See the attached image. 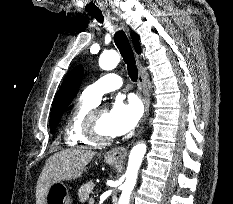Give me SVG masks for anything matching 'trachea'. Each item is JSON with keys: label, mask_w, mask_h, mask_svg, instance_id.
I'll return each mask as SVG.
<instances>
[{"label": "trachea", "mask_w": 233, "mask_h": 204, "mask_svg": "<svg viewBox=\"0 0 233 204\" xmlns=\"http://www.w3.org/2000/svg\"><path fill=\"white\" fill-rule=\"evenodd\" d=\"M91 16L96 18L98 22L103 23L104 18L101 12L91 13ZM114 41L123 57V60L127 64V70H128L129 77L131 78L133 82H136L138 78V70L136 67L134 53L130 45V42L128 40V37L122 30H120L115 33Z\"/></svg>", "instance_id": "trachea-1"}]
</instances>
